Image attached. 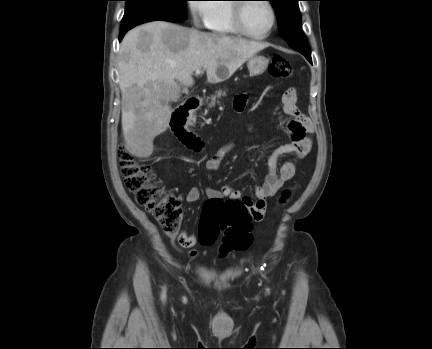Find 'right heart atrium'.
Instances as JSON below:
<instances>
[{
	"label": "right heart atrium",
	"instance_id": "1",
	"mask_svg": "<svg viewBox=\"0 0 432 349\" xmlns=\"http://www.w3.org/2000/svg\"><path fill=\"white\" fill-rule=\"evenodd\" d=\"M188 9L194 25L201 26L206 22L210 10L208 0H189Z\"/></svg>",
	"mask_w": 432,
	"mask_h": 349
}]
</instances>
